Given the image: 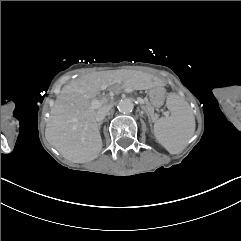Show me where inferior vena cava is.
<instances>
[{
	"label": "inferior vena cava",
	"instance_id": "obj_1",
	"mask_svg": "<svg viewBox=\"0 0 241 241\" xmlns=\"http://www.w3.org/2000/svg\"><path fill=\"white\" fill-rule=\"evenodd\" d=\"M111 108L112 107L108 105L105 109L99 110L96 114V121L98 123L102 122Z\"/></svg>",
	"mask_w": 241,
	"mask_h": 241
}]
</instances>
